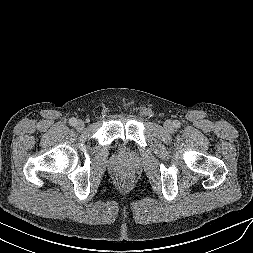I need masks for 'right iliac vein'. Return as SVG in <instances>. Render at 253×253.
<instances>
[{"label": "right iliac vein", "mask_w": 253, "mask_h": 253, "mask_svg": "<svg viewBox=\"0 0 253 253\" xmlns=\"http://www.w3.org/2000/svg\"><path fill=\"white\" fill-rule=\"evenodd\" d=\"M75 127L78 130H82L84 128V122L82 120L76 121Z\"/></svg>", "instance_id": "1"}]
</instances>
